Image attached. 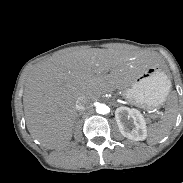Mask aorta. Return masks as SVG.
<instances>
[{
	"instance_id": "1",
	"label": "aorta",
	"mask_w": 183,
	"mask_h": 183,
	"mask_svg": "<svg viewBox=\"0 0 183 183\" xmlns=\"http://www.w3.org/2000/svg\"><path fill=\"white\" fill-rule=\"evenodd\" d=\"M96 112L98 114H107L109 112V107L105 104L99 103L96 105Z\"/></svg>"
}]
</instances>
